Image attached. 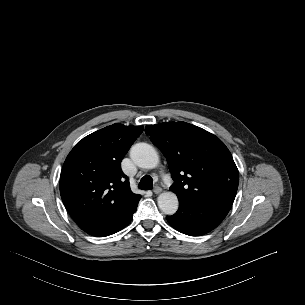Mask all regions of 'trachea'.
Segmentation results:
<instances>
[{
    "label": "trachea",
    "mask_w": 305,
    "mask_h": 305,
    "mask_svg": "<svg viewBox=\"0 0 305 305\" xmlns=\"http://www.w3.org/2000/svg\"><path fill=\"white\" fill-rule=\"evenodd\" d=\"M138 187L142 190H151L153 187V179L149 175H145L139 182Z\"/></svg>",
    "instance_id": "1"
}]
</instances>
